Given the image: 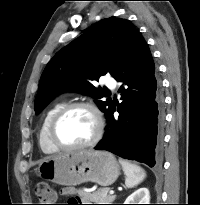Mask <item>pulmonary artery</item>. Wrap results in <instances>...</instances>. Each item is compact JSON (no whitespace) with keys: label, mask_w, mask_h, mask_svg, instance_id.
Masks as SVG:
<instances>
[{"label":"pulmonary artery","mask_w":200,"mask_h":205,"mask_svg":"<svg viewBox=\"0 0 200 205\" xmlns=\"http://www.w3.org/2000/svg\"><path fill=\"white\" fill-rule=\"evenodd\" d=\"M105 84L107 87L112 88V89H114L116 87V82L113 79H108L105 82Z\"/></svg>","instance_id":"1"}]
</instances>
